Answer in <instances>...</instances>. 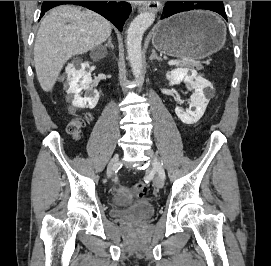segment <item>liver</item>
<instances>
[{
    "mask_svg": "<svg viewBox=\"0 0 271 266\" xmlns=\"http://www.w3.org/2000/svg\"><path fill=\"white\" fill-rule=\"evenodd\" d=\"M111 31V23L91 10L70 5L52 9L40 25L34 46L41 88L51 91L67 60L105 42Z\"/></svg>",
    "mask_w": 271,
    "mask_h": 266,
    "instance_id": "6515ba94",
    "label": "liver"
}]
</instances>
